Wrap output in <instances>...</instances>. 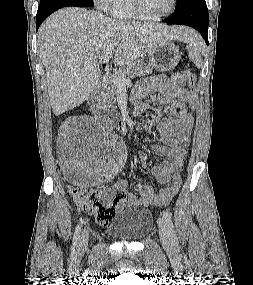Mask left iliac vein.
<instances>
[{
  "mask_svg": "<svg viewBox=\"0 0 253 285\" xmlns=\"http://www.w3.org/2000/svg\"><path fill=\"white\" fill-rule=\"evenodd\" d=\"M158 226H159L160 240L162 242L163 247H165L166 249H170L172 247V241H171L169 228L166 222L163 219H160L158 222Z\"/></svg>",
  "mask_w": 253,
  "mask_h": 285,
  "instance_id": "1",
  "label": "left iliac vein"
}]
</instances>
